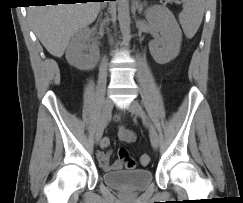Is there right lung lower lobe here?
Returning a JSON list of instances; mask_svg holds the SVG:
<instances>
[{
	"label": "right lung lower lobe",
	"instance_id": "1",
	"mask_svg": "<svg viewBox=\"0 0 243 203\" xmlns=\"http://www.w3.org/2000/svg\"><path fill=\"white\" fill-rule=\"evenodd\" d=\"M61 1H63L61 3H75V2H73L75 0H61ZM82 1H85V0H82ZM97 1H104V0H97ZM110 1H113V0H110ZM114 1H116V0H114Z\"/></svg>",
	"mask_w": 243,
	"mask_h": 203
}]
</instances>
